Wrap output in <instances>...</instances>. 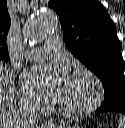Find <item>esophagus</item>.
Segmentation results:
<instances>
[{"label":"esophagus","mask_w":125,"mask_h":128,"mask_svg":"<svg viewBox=\"0 0 125 128\" xmlns=\"http://www.w3.org/2000/svg\"><path fill=\"white\" fill-rule=\"evenodd\" d=\"M45 127H52L53 126V123L51 121H46L44 122L43 124Z\"/></svg>","instance_id":"obj_1"}]
</instances>
